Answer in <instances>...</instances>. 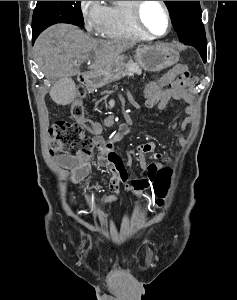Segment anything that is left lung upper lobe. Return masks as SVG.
<instances>
[{
  "mask_svg": "<svg viewBox=\"0 0 237 300\" xmlns=\"http://www.w3.org/2000/svg\"><path fill=\"white\" fill-rule=\"evenodd\" d=\"M169 8L178 38L186 45L195 47L206 60L207 40L201 20L199 1H164Z\"/></svg>",
  "mask_w": 237,
  "mask_h": 300,
  "instance_id": "obj_1",
  "label": "left lung upper lobe"
}]
</instances>
